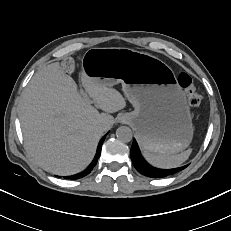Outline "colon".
Listing matches in <instances>:
<instances>
[{
	"label": "colon",
	"mask_w": 231,
	"mask_h": 231,
	"mask_svg": "<svg viewBox=\"0 0 231 231\" xmlns=\"http://www.w3.org/2000/svg\"><path fill=\"white\" fill-rule=\"evenodd\" d=\"M64 64L67 70L72 71L74 69L73 62L67 60ZM178 80L180 85L185 89L187 93L188 104L192 108L199 107L202 102V98L196 90L192 78L187 73H181Z\"/></svg>",
	"instance_id": "5ec220e1"
}]
</instances>
